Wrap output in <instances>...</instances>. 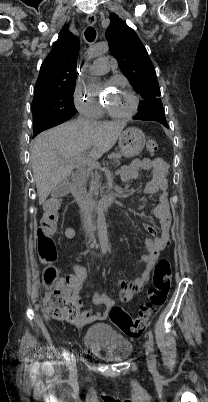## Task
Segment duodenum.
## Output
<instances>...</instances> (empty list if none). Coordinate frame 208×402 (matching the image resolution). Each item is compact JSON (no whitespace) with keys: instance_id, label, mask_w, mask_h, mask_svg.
<instances>
[{"instance_id":"obj_1","label":"duodenum","mask_w":208,"mask_h":402,"mask_svg":"<svg viewBox=\"0 0 208 402\" xmlns=\"http://www.w3.org/2000/svg\"><path fill=\"white\" fill-rule=\"evenodd\" d=\"M71 192L77 202L80 204V206L86 210V211H95V212H101L104 211L108 208H110L115 199H116V193L111 192L109 193L106 197H104L102 200L99 202H95L92 199H90L84 189H83V177L80 174H76L71 178Z\"/></svg>"}]
</instances>
